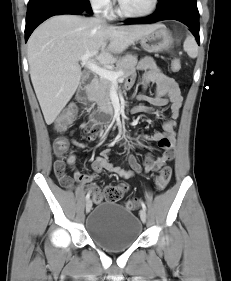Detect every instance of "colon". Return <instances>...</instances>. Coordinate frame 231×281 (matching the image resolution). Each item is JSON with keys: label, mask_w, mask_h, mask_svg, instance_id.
<instances>
[{"label": "colon", "mask_w": 231, "mask_h": 281, "mask_svg": "<svg viewBox=\"0 0 231 281\" xmlns=\"http://www.w3.org/2000/svg\"><path fill=\"white\" fill-rule=\"evenodd\" d=\"M181 69V62L178 59H174L170 63V70L172 72H178ZM76 106H69L61 113V115L54 122V128L58 133H62L66 127L70 124L74 116L76 115ZM53 150L57 157L63 158L68 152V141L63 136H58L53 143ZM172 170L169 166L163 167L155 178L156 189L161 191L167 187L170 182ZM125 185H111L105 188L102 192L99 188H93V198L96 202H100L103 199L111 202L120 200L125 192ZM125 206L130 210H135L138 207V201L136 199L129 200L125 203Z\"/></svg>", "instance_id": "5ec220e1"}]
</instances>
